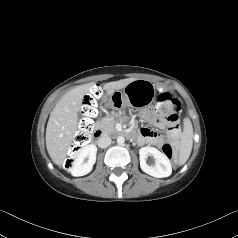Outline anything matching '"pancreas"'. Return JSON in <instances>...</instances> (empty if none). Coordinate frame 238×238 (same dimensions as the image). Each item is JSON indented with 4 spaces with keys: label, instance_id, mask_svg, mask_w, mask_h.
<instances>
[{
    "label": "pancreas",
    "instance_id": "1",
    "mask_svg": "<svg viewBox=\"0 0 238 238\" xmlns=\"http://www.w3.org/2000/svg\"><path fill=\"white\" fill-rule=\"evenodd\" d=\"M115 122L111 118H102L96 123V126L102 129L104 132L112 133L115 131Z\"/></svg>",
    "mask_w": 238,
    "mask_h": 238
}]
</instances>
